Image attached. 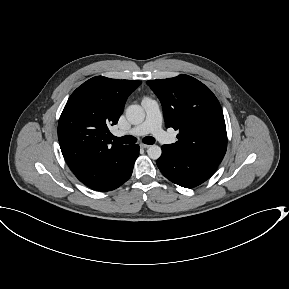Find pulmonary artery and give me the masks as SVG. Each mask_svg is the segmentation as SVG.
I'll use <instances>...</instances> for the list:
<instances>
[{
  "label": "pulmonary artery",
  "mask_w": 289,
  "mask_h": 289,
  "mask_svg": "<svg viewBox=\"0 0 289 289\" xmlns=\"http://www.w3.org/2000/svg\"><path fill=\"white\" fill-rule=\"evenodd\" d=\"M141 104L146 113L145 120L128 132L117 131L116 135L122 136L124 134H130L133 136H142L151 133L162 143H172L174 138L162 128V114L157 101L151 98H144Z\"/></svg>",
  "instance_id": "obj_1"
}]
</instances>
